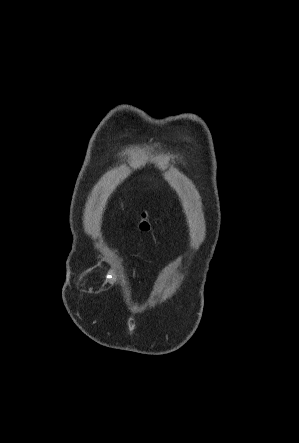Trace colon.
Returning <instances> with one entry per match:
<instances>
[{
  "mask_svg": "<svg viewBox=\"0 0 299 443\" xmlns=\"http://www.w3.org/2000/svg\"><path fill=\"white\" fill-rule=\"evenodd\" d=\"M139 227L141 230L147 231L150 229V223L146 218L145 214H142L141 221L139 223Z\"/></svg>",
  "mask_w": 299,
  "mask_h": 443,
  "instance_id": "5ec220e1",
  "label": "colon"
}]
</instances>
